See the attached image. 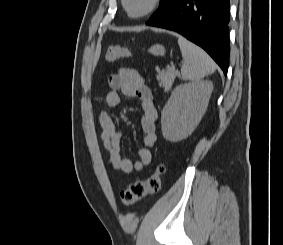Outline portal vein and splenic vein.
I'll return each mask as SVG.
<instances>
[{"instance_id": "1", "label": "portal vein and splenic vein", "mask_w": 283, "mask_h": 245, "mask_svg": "<svg viewBox=\"0 0 283 245\" xmlns=\"http://www.w3.org/2000/svg\"><path fill=\"white\" fill-rule=\"evenodd\" d=\"M171 69H172V70H175V66H174L173 63L171 64Z\"/></svg>"}]
</instances>
